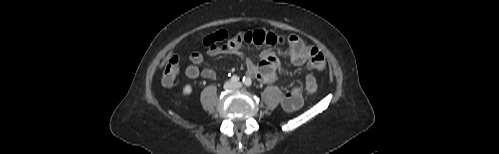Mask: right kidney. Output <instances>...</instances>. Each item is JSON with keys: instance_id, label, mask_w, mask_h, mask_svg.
<instances>
[{"instance_id": "ca27d5eb", "label": "right kidney", "mask_w": 499, "mask_h": 154, "mask_svg": "<svg viewBox=\"0 0 499 154\" xmlns=\"http://www.w3.org/2000/svg\"><path fill=\"white\" fill-rule=\"evenodd\" d=\"M182 93L184 96L190 95L192 93V86L190 84H186L182 89Z\"/></svg>"}]
</instances>
